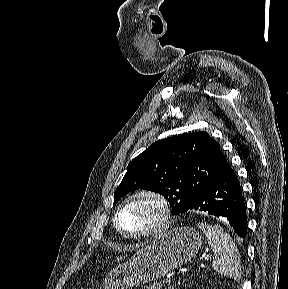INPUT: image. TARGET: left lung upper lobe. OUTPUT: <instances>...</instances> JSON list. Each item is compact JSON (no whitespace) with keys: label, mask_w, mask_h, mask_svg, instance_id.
I'll use <instances>...</instances> for the list:
<instances>
[{"label":"left lung upper lobe","mask_w":288,"mask_h":289,"mask_svg":"<svg viewBox=\"0 0 288 289\" xmlns=\"http://www.w3.org/2000/svg\"><path fill=\"white\" fill-rule=\"evenodd\" d=\"M226 163L219 143L206 132L159 140L129 163L114 202L141 188L163 195L173 214L183 213Z\"/></svg>","instance_id":"1"}]
</instances>
